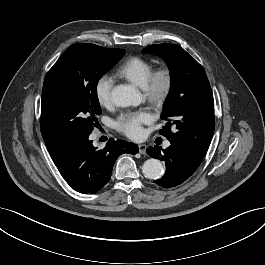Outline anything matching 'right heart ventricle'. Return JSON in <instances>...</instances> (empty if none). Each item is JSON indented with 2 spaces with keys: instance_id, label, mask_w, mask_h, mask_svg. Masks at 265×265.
<instances>
[{
  "instance_id": "obj_1",
  "label": "right heart ventricle",
  "mask_w": 265,
  "mask_h": 265,
  "mask_svg": "<svg viewBox=\"0 0 265 265\" xmlns=\"http://www.w3.org/2000/svg\"><path fill=\"white\" fill-rule=\"evenodd\" d=\"M153 70L154 66L149 60L140 56H132L120 65L117 75L144 88Z\"/></svg>"
}]
</instances>
